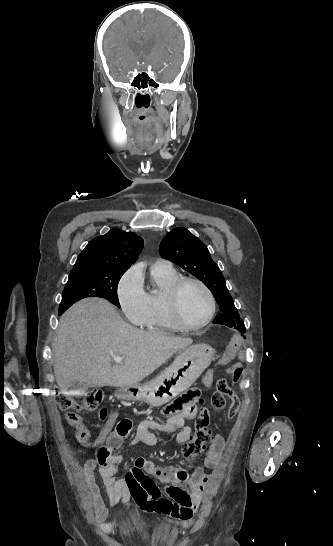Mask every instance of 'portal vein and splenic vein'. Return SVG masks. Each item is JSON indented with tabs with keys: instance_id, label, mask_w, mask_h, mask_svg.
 <instances>
[{
	"instance_id": "18ae733b",
	"label": "portal vein and splenic vein",
	"mask_w": 333,
	"mask_h": 546,
	"mask_svg": "<svg viewBox=\"0 0 333 546\" xmlns=\"http://www.w3.org/2000/svg\"><path fill=\"white\" fill-rule=\"evenodd\" d=\"M113 359H114V362H116V363H121V362L124 361L125 358L122 357V356L114 355V356H113Z\"/></svg>"
}]
</instances>
